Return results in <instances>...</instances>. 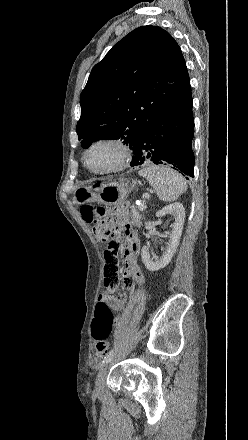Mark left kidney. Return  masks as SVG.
Here are the masks:
<instances>
[{"instance_id":"obj_1","label":"left kidney","mask_w":248,"mask_h":440,"mask_svg":"<svg viewBox=\"0 0 248 440\" xmlns=\"http://www.w3.org/2000/svg\"><path fill=\"white\" fill-rule=\"evenodd\" d=\"M166 214L173 215L175 222L173 224V229L169 235L168 246L166 247V250L163 253L162 257L158 258L155 255H152L151 257L148 248L146 246L142 248L141 257L143 263L145 264V267L149 271H157L167 266L179 245V239L182 233L185 219V208L181 203H173L159 210L156 213V217L160 218L165 216Z\"/></svg>"}]
</instances>
